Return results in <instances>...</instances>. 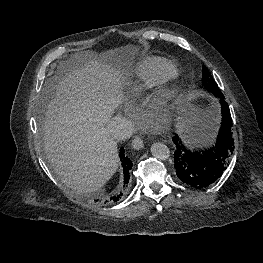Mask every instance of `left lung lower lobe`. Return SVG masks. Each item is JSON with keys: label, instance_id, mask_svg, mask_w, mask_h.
I'll return each instance as SVG.
<instances>
[{"label": "left lung lower lobe", "instance_id": "0a47b994", "mask_svg": "<svg viewBox=\"0 0 263 263\" xmlns=\"http://www.w3.org/2000/svg\"><path fill=\"white\" fill-rule=\"evenodd\" d=\"M216 97L220 98L222 123L215 146L210 149L194 150L182 141L180 135L176 134L172 138L175 144L176 175L183 183L197 189L212 185L223 175L234 150L229 105L223 94Z\"/></svg>", "mask_w": 263, "mask_h": 263}]
</instances>
